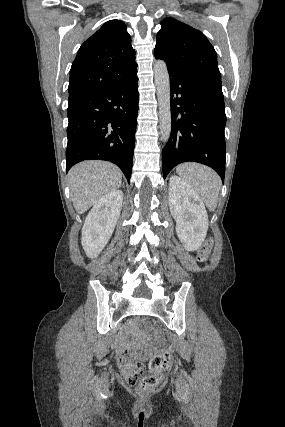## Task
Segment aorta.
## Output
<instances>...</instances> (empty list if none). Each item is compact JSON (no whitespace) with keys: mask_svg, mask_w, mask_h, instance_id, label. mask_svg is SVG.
<instances>
[{"mask_svg":"<svg viewBox=\"0 0 285 427\" xmlns=\"http://www.w3.org/2000/svg\"><path fill=\"white\" fill-rule=\"evenodd\" d=\"M154 81L159 106L160 134L163 142L171 134L170 78L166 63L158 60L154 64Z\"/></svg>","mask_w":285,"mask_h":427,"instance_id":"obj_1","label":"aorta"}]
</instances>
